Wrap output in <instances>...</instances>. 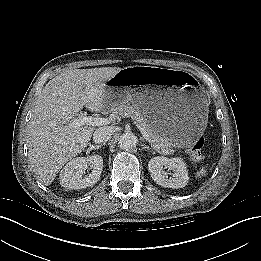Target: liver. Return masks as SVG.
<instances>
[{
	"label": "liver",
	"mask_w": 261,
	"mask_h": 261,
	"mask_svg": "<svg viewBox=\"0 0 261 261\" xmlns=\"http://www.w3.org/2000/svg\"><path fill=\"white\" fill-rule=\"evenodd\" d=\"M121 70L70 69L45 85L27 128L29 161L42 184L50 185L60 169L87 147L95 127L70 124L83 107L96 112L106 108V82Z\"/></svg>",
	"instance_id": "liver-1"
}]
</instances>
